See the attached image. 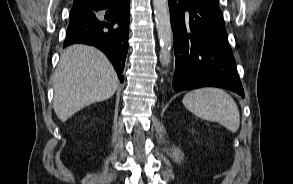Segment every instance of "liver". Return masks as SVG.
Segmentation results:
<instances>
[{
  "label": "liver",
  "instance_id": "1",
  "mask_svg": "<svg viewBox=\"0 0 293 184\" xmlns=\"http://www.w3.org/2000/svg\"><path fill=\"white\" fill-rule=\"evenodd\" d=\"M118 85L117 74L101 51L71 45L61 54L55 72L54 111L65 122L84 107L112 97Z\"/></svg>",
  "mask_w": 293,
  "mask_h": 184
}]
</instances>
